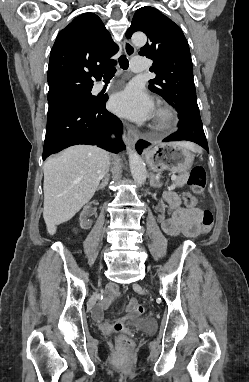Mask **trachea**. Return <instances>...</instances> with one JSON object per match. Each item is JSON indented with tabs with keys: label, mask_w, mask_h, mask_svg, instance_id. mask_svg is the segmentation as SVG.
Returning a JSON list of instances; mask_svg holds the SVG:
<instances>
[{
	"label": "trachea",
	"mask_w": 249,
	"mask_h": 382,
	"mask_svg": "<svg viewBox=\"0 0 249 382\" xmlns=\"http://www.w3.org/2000/svg\"><path fill=\"white\" fill-rule=\"evenodd\" d=\"M119 61V64H120V67L123 69V70H126L129 66V62H128V59L126 58L125 55H122L119 57L118 59ZM116 72V68L115 67H110L109 69H107L104 73V78H112L114 76Z\"/></svg>",
	"instance_id": "1"
}]
</instances>
